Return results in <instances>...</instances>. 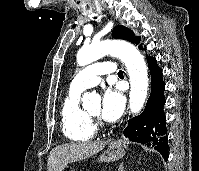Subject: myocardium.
I'll return each mask as SVG.
<instances>
[{"instance_id":"obj_1","label":"myocardium","mask_w":199,"mask_h":171,"mask_svg":"<svg viewBox=\"0 0 199 171\" xmlns=\"http://www.w3.org/2000/svg\"><path fill=\"white\" fill-rule=\"evenodd\" d=\"M90 118L93 119V120H97V115L95 114H92V113H88Z\"/></svg>"}]
</instances>
